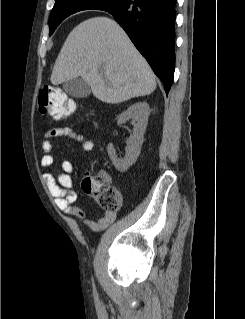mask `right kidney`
<instances>
[{"label": "right kidney", "mask_w": 245, "mask_h": 319, "mask_svg": "<svg viewBox=\"0 0 245 319\" xmlns=\"http://www.w3.org/2000/svg\"><path fill=\"white\" fill-rule=\"evenodd\" d=\"M150 107L146 102H137L124 111L119 117L117 124L121 125L130 119L135 123L133 133L126 141V155L124 159L117 158L116 150L112 143L107 147V152L115 168L125 172L134 164L140 155L141 146L144 141V133L147 127Z\"/></svg>", "instance_id": "right-kidney-1"}]
</instances>
